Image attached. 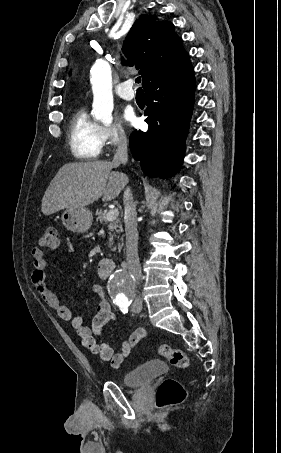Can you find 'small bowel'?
<instances>
[{"mask_svg": "<svg viewBox=\"0 0 281 453\" xmlns=\"http://www.w3.org/2000/svg\"><path fill=\"white\" fill-rule=\"evenodd\" d=\"M31 256L33 267L30 278L36 287L37 293L62 320L68 321L77 331L85 348L97 354L102 360L109 362L113 368H120L139 340L146 335L145 330L142 328L136 329L128 340L122 343L120 350L115 352L111 345L98 337L104 326L114 319L111 302L103 297L102 287L98 284H93L91 287L93 293L100 296V300L97 305L96 315L91 322V327H89L83 323L81 317L73 315L70 309L59 301L49 287L46 278L47 257L45 252L40 249H33Z\"/></svg>", "mask_w": 281, "mask_h": 453, "instance_id": "c3829d8e", "label": "small bowel"}]
</instances>
